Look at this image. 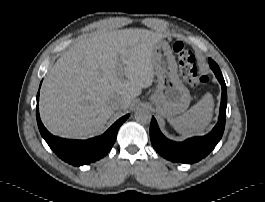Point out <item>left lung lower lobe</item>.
I'll return each instance as SVG.
<instances>
[{
    "label": "left lung lower lobe",
    "instance_id": "left-lung-lower-lobe-1",
    "mask_svg": "<svg viewBox=\"0 0 265 202\" xmlns=\"http://www.w3.org/2000/svg\"><path fill=\"white\" fill-rule=\"evenodd\" d=\"M209 64L222 86L218 123L209 134L203 137L189 138L183 142H174L167 139L161 133L155 118L152 117L150 125L151 143L158 153L172 162H198L202 158L206 157L215 148L223 135L227 106V89L218 65H214L211 59H209Z\"/></svg>",
    "mask_w": 265,
    "mask_h": 202
}]
</instances>
